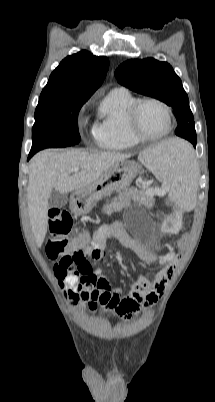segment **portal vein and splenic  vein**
I'll use <instances>...</instances> for the list:
<instances>
[{"label":"portal vein and splenic vein","mask_w":215,"mask_h":402,"mask_svg":"<svg viewBox=\"0 0 215 402\" xmlns=\"http://www.w3.org/2000/svg\"><path fill=\"white\" fill-rule=\"evenodd\" d=\"M71 172L72 173H77V172H79V168H73V169H71ZM165 192V191H164Z\"/></svg>","instance_id":"portal-vein-and-splenic-vein-1"}]
</instances>
